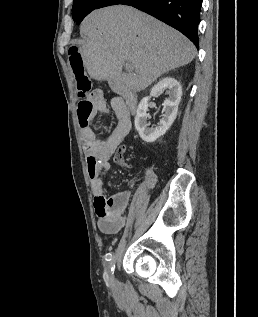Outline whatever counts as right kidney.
<instances>
[{
  "mask_svg": "<svg viewBox=\"0 0 258 317\" xmlns=\"http://www.w3.org/2000/svg\"><path fill=\"white\" fill-rule=\"evenodd\" d=\"M166 88V94H169L168 98L163 102L162 108V118H160V122L158 126H149L150 122H147V110H148V100H150L151 96H157L161 90ZM182 96V86L176 78H172V76H165V78H161L155 86H153L150 96H143L142 100H140L138 104V108L136 110L135 116V126L142 138V140H146V142H154L157 140L159 136L165 134L166 130L170 128L172 122H174L177 112H178V104L181 100Z\"/></svg>",
  "mask_w": 258,
  "mask_h": 317,
  "instance_id": "obj_1",
  "label": "right kidney"
}]
</instances>
